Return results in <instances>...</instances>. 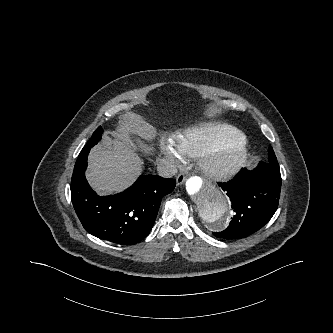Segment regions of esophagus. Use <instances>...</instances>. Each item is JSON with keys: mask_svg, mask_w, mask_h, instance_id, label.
Segmentation results:
<instances>
[{"mask_svg": "<svg viewBox=\"0 0 333 333\" xmlns=\"http://www.w3.org/2000/svg\"><path fill=\"white\" fill-rule=\"evenodd\" d=\"M176 181H177V185L184 184V182H185V175H184V173H179L178 176H177Z\"/></svg>", "mask_w": 333, "mask_h": 333, "instance_id": "34e87169", "label": "esophagus"}]
</instances>
